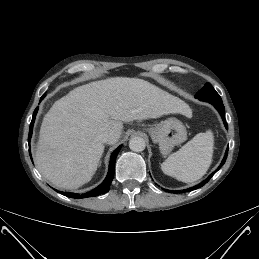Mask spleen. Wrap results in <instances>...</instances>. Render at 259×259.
<instances>
[{
    "mask_svg": "<svg viewBox=\"0 0 259 259\" xmlns=\"http://www.w3.org/2000/svg\"><path fill=\"white\" fill-rule=\"evenodd\" d=\"M214 136L211 130L198 133L162 164L163 173L179 181L191 183L208 171L213 157Z\"/></svg>",
    "mask_w": 259,
    "mask_h": 259,
    "instance_id": "spleen-1",
    "label": "spleen"
}]
</instances>
